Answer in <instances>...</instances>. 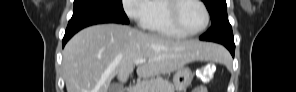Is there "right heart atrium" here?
I'll return each mask as SVG.
<instances>
[{
  "instance_id": "1",
  "label": "right heart atrium",
  "mask_w": 296,
  "mask_h": 92,
  "mask_svg": "<svg viewBox=\"0 0 296 92\" xmlns=\"http://www.w3.org/2000/svg\"><path fill=\"white\" fill-rule=\"evenodd\" d=\"M150 1L147 0H124V11L133 22L143 25L148 19Z\"/></svg>"
}]
</instances>
